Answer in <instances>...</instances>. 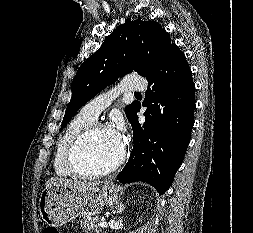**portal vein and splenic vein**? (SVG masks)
Instances as JSON below:
<instances>
[{
	"mask_svg": "<svg viewBox=\"0 0 253 233\" xmlns=\"http://www.w3.org/2000/svg\"><path fill=\"white\" fill-rule=\"evenodd\" d=\"M100 227L106 228L108 226L107 222L105 220H102L100 223H98Z\"/></svg>",
	"mask_w": 253,
	"mask_h": 233,
	"instance_id": "obj_1",
	"label": "portal vein and splenic vein"
}]
</instances>
